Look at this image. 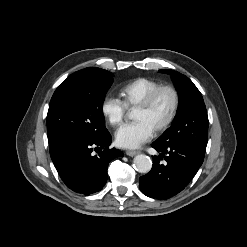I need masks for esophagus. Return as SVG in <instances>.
<instances>
[{
  "label": "esophagus",
  "mask_w": 247,
  "mask_h": 247,
  "mask_svg": "<svg viewBox=\"0 0 247 247\" xmlns=\"http://www.w3.org/2000/svg\"><path fill=\"white\" fill-rule=\"evenodd\" d=\"M138 153H139V151H133V150H127V151H126V154H127L128 156H131V157L135 156V155L138 154Z\"/></svg>",
  "instance_id": "obj_1"
}]
</instances>
